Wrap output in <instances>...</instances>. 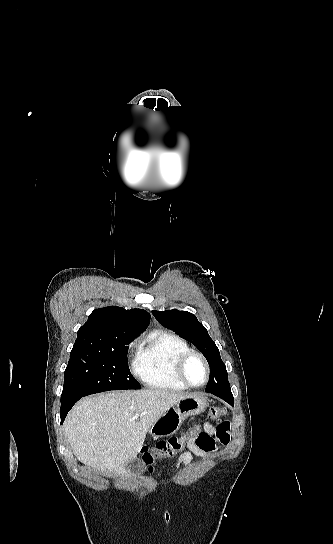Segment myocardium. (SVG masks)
Wrapping results in <instances>:
<instances>
[{"mask_svg": "<svg viewBox=\"0 0 333 544\" xmlns=\"http://www.w3.org/2000/svg\"><path fill=\"white\" fill-rule=\"evenodd\" d=\"M193 357H197L199 358L202 363L204 364V367L206 369V379L205 381L200 384V385H195L193 383H191L188 378L186 377V366L188 364V362L193 358ZM175 375L177 377V379L183 384L185 385L186 387H189V388H202L204 387L210 380V376H211V369H210V365L206 359V357L198 352V351H195V350H188L184 353H182L176 360V363H175Z\"/></svg>", "mask_w": 333, "mask_h": 544, "instance_id": "1", "label": "myocardium"}]
</instances>
